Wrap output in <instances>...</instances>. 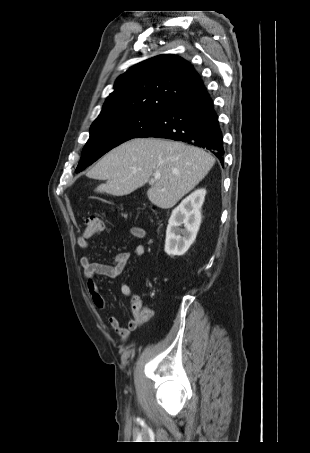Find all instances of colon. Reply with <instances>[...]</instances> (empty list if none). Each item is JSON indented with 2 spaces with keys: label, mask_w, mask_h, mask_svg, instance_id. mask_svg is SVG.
I'll use <instances>...</instances> for the list:
<instances>
[{
  "label": "colon",
  "mask_w": 310,
  "mask_h": 453,
  "mask_svg": "<svg viewBox=\"0 0 310 453\" xmlns=\"http://www.w3.org/2000/svg\"><path fill=\"white\" fill-rule=\"evenodd\" d=\"M106 230L105 221L99 216H91L86 222V229L84 234L88 237L93 236L94 234L101 233ZM148 311L143 310L141 316H147Z\"/></svg>",
  "instance_id": "5ec220e1"
}]
</instances>
